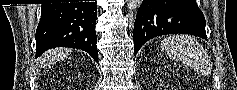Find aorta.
Masks as SVG:
<instances>
[{
  "instance_id": "aorta-1",
  "label": "aorta",
  "mask_w": 237,
  "mask_h": 90,
  "mask_svg": "<svg viewBox=\"0 0 237 90\" xmlns=\"http://www.w3.org/2000/svg\"><path fill=\"white\" fill-rule=\"evenodd\" d=\"M142 4V0H128L126 8L128 10H138Z\"/></svg>"
}]
</instances>
